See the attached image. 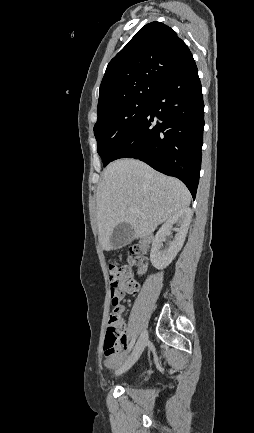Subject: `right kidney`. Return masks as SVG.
Masks as SVG:
<instances>
[{"mask_svg":"<svg viewBox=\"0 0 254 433\" xmlns=\"http://www.w3.org/2000/svg\"><path fill=\"white\" fill-rule=\"evenodd\" d=\"M191 216L192 213L189 208L181 210L172 215L158 231L153 240L150 254L152 265L155 268L163 269L167 267L176 257L184 244ZM174 224H176L178 228L173 229ZM171 229L177 233L173 241L170 243L169 248L162 250V242L165 240L166 234H168Z\"/></svg>","mask_w":254,"mask_h":433,"instance_id":"obj_1","label":"right kidney"}]
</instances>
